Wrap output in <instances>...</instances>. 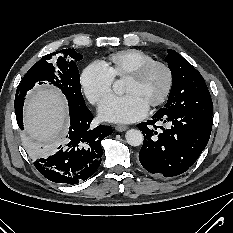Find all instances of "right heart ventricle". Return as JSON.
Instances as JSON below:
<instances>
[{
    "label": "right heart ventricle",
    "instance_id": "1",
    "mask_svg": "<svg viewBox=\"0 0 233 233\" xmlns=\"http://www.w3.org/2000/svg\"><path fill=\"white\" fill-rule=\"evenodd\" d=\"M153 61V57L138 49H125L111 54L104 66L113 78H125L138 66Z\"/></svg>",
    "mask_w": 233,
    "mask_h": 233
}]
</instances>
